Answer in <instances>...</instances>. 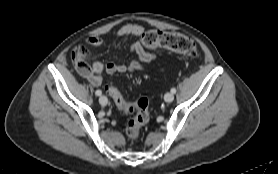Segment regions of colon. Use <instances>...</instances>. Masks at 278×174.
I'll use <instances>...</instances> for the list:
<instances>
[{"label":"colon","instance_id":"5ec220e1","mask_svg":"<svg viewBox=\"0 0 278 174\" xmlns=\"http://www.w3.org/2000/svg\"><path fill=\"white\" fill-rule=\"evenodd\" d=\"M141 41L148 48H165L191 58H197L199 56L196 43L191 38L180 33L150 30L143 34ZM75 55L79 66L89 64V53L84 46H78ZM106 90L120 110L134 115L127 124L126 134L132 140L137 139L142 127L149 122L150 116L147 99L139 98L129 103L124 99L120 90L113 84H108Z\"/></svg>","mask_w":278,"mask_h":174}]
</instances>
